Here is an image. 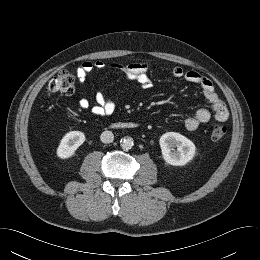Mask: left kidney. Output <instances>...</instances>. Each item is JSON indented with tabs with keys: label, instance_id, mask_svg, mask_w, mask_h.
<instances>
[{
	"label": "left kidney",
	"instance_id": "1",
	"mask_svg": "<svg viewBox=\"0 0 260 260\" xmlns=\"http://www.w3.org/2000/svg\"><path fill=\"white\" fill-rule=\"evenodd\" d=\"M159 144L163 159L173 166H184L195 155L194 143L176 132H167L160 137Z\"/></svg>",
	"mask_w": 260,
	"mask_h": 260
}]
</instances>
